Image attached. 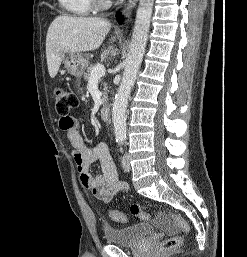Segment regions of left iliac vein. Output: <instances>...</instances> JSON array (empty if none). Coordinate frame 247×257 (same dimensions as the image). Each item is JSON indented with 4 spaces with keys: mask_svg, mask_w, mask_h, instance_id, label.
I'll use <instances>...</instances> for the list:
<instances>
[{
    "mask_svg": "<svg viewBox=\"0 0 247 257\" xmlns=\"http://www.w3.org/2000/svg\"><path fill=\"white\" fill-rule=\"evenodd\" d=\"M122 167L125 172H129L131 170L129 155L127 153H125L122 157Z\"/></svg>",
    "mask_w": 247,
    "mask_h": 257,
    "instance_id": "4c4485c4",
    "label": "left iliac vein"
}]
</instances>
